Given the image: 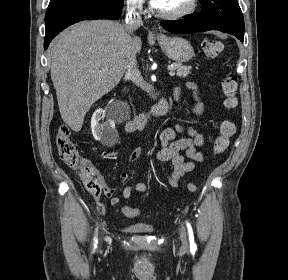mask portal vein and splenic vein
Wrapping results in <instances>:
<instances>
[{"instance_id":"1","label":"portal vein and splenic vein","mask_w":288,"mask_h":280,"mask_svg":"<svg viewBox=\"0 0 288 280\" xmlns=\"http://www.w3.org/2000/svg\"><path fill=\"white\" fill-rule=\"evenodd\" d=\"M168 70L170 71L169 74H170L171 76L175 75V72H174V69H173V68L169 67Z\"/></svg>"}]
</instances>
